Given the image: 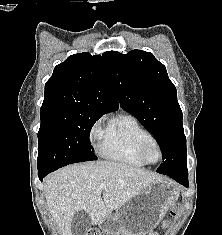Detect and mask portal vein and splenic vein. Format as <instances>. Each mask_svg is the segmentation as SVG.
<instances>
[{"label":"portal vein and splenic vein","instance_id":"18ae733b","mask_svg":"<svg viewBox=\"0 0 222 235\" xmlns=\"http://www.w3.org/2000/svg\"><path fill=\"white\" fill-rule=\"evenodd\" d=\"M108 185L106 183H101L100 184V188L103 189V188H106Z\"/></svg>","mask_w":222,"mask_h":235}]
</instances>
